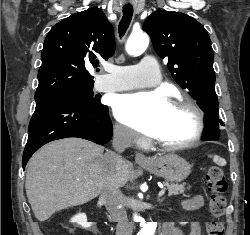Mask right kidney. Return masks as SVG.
I'll use <instances>...</instances> for the list:
<instances>
[{
    "label": "right kidney",
    "mask_w": 250,
    "mask_h": 235,
    "mask_svg": "<svg viewBox=\"0 0 250 235\" xmlns=\"http://www.w3.org/2000/svg\"><path fill=\"white\" fill-rule=\"evenodd\" d=\"M71 222L76 223L83 228H89L92 225L91 222H87V216L85 213H79L75 215L73 218H71Z\"/></svg>",
    "instance_id": "ca27d5eb"
}]
</instances>
